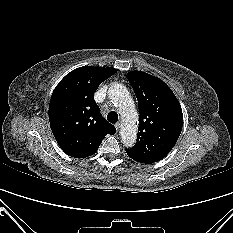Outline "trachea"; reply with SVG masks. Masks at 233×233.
<instances>
[{
  "label": "trachea",
  "mask_w": 233,
  "mask_h": 233,
  "mask_svg": "<svg viewBox=\"0 0 233 233\" xmlns=\"http://www.w3.org/2000/svg\"><path fill=\"white\" fill-rule=\"evenodd\" d=\"M107 120L111 123H116L118 121V114L115 111H111L107 115Z\"/></svg>",
  "instance_id": "3493384b"
}]
</instances>
